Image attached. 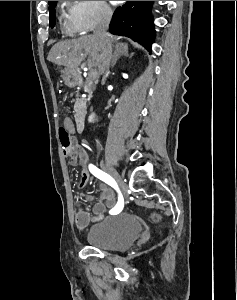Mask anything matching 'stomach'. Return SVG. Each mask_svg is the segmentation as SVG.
Returning a JSON list of instances; mask_svg holds the SVG:
<instances>
[{
    "mask_svg": "<svg viewBox=\"0 0 237 300\" xmlns=\"http://www.w3.org/2000/svg\"><path fill=\"white\" fill-rule=\"evenodd\" d=\"M59 69L66 85H69V87H75V85L78 83L80 75H78L74 69H63V67H59Z\"/></svg>",
    "mask_w": 237,
    "mask_h": 300,
    "instance_id": "1",
    "label": "stomach"
}]
</instances>
